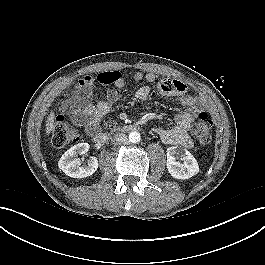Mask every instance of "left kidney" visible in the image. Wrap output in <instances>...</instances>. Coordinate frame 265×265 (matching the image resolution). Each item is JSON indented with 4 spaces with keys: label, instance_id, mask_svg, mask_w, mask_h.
<instances>
[{
    "label": "left kidney",
    "instance_id": "5707ae66",
    "mask_svg": "<svg viewBox=\"0 0 265 265\" xmlns=\"http://www.w3.org/2000/svg\"><path fill=\"white\" fill-rule=\"evenodd\" d=\"M183 161V163L177 161ZM167 169L176 179H189L199 172V165L194 156L186 149L172 146L167 149Z\"/></svg>",
    "mask_w": 265,
    "mask_h": 265
}]
</instances>
